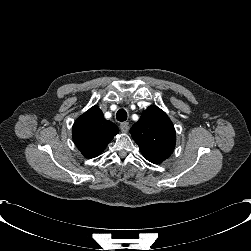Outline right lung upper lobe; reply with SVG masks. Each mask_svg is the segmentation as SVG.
<instances>
[{
	"instance_id": "obj_1",
	"label": "right lung upper lobe",
	"mask_w": 251,
	"mask_h": 251,
	"mask_svg": "<svg viewBox=\"0 0 251 251\" xmlns=\"http://www.w3.org/2000/svg\"><path fill=\"white\" fill-rule=\"evenodd\" d=\"M118 132V127L104 118L97 105L81 115L72 127L73 141L86 158L98 156Z\"/></svg>"
}]
</instances>
